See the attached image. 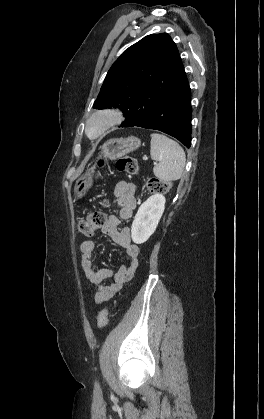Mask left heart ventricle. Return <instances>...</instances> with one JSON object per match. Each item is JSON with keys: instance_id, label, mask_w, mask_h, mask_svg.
Wrapping results in <instances>:
<instances>
[{"instance_id": "b2bd125f", "label": "left heart ventricle", "mask_w": 264, "mask_h": 419, "mask_svg": "<svg viewBox=\"0 0 264 419\" xmlns=\"http://www.w3.org/2000/svg\"><path fill=\"white\" fill-rule=\"evenodd\" d=\"M98 128H99V125L97 123L93 124L90 128V133L95 134L97 132Z\"/></svg>"}]
</instances>
